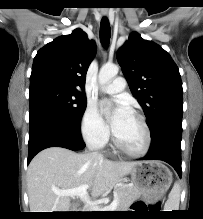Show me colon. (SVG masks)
Wrapping results in <instances>:
<instances>
[{
    "mask_svg": "<svg viewBox=\"0 0 203 219\" xmlns=\"http://www.w3.org/2000/svg\"><path fill=\"white\" fill-rule=\"evenodd\" d=\"M158 206H159V204L156 203V204H154L152 207H153V208H156V207H158Z\"/></svg>",
    "mask_w": 203,
    "mask_h": 219,
    "instance_id": "colon-1",
    "label": "colon"
}]
</instances>
